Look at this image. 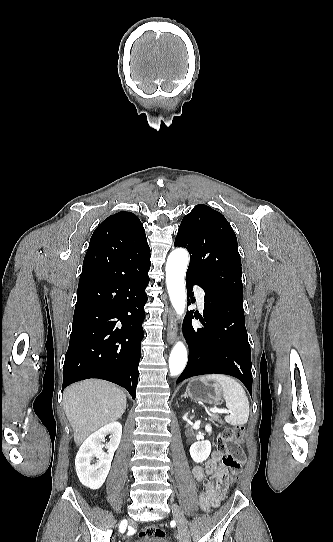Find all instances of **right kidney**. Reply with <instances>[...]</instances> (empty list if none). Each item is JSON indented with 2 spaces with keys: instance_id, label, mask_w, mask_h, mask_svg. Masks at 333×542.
Wrapping results in <instances>:
<instances>
[{
  "instance_id": "right-kidney-1",
  "label": "right kidney",
  "mask_w": 333,
  "mask_h": 542,
  "mask_svg": "<svg viewBox=\"0 0 333 542\" xmlns=\"http://www.w3.org/2000/svg\"><path fill=\"white\" fill-rule=\"evenodd\" d=\"M110 434V442L106 444L108 452H103L105 442L104 438ZM122 436V426L119 422H111L103 426L87 440L83 442L75 458L76 474L83 486L90 490H99L103 486L111 468L114 452L117 450ZM93 458H99L96 464H93Z\"/></svg>"
}]
</instances>
